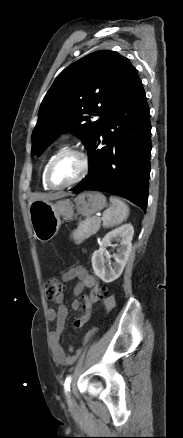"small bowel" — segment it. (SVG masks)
<instances>
[{
  "mask_svg": "<svg viewBox=\"0 0 183 438\" xmlns=\"http://www.w3.org/2000/svg\"><path fill=\"white\" fill-rule=\"evenodd\" d=\"M74 279L77 280L73 287L74 296H79L85 288H92L96 283L95 278L82 266L69 268L62 275V280L64 282H69ZM86 299L87 297H85V301ZM53 301L58 305L57 308H49L47 312L48 320L55 324V330L50 336L53 357L59 364L70 365L74 362L75 357L68 355L60 344V337L64 331L66 318L68 316V308L64 304L63 295L58 296ZM103 303L106 310L109 311L114 306V298L108 296L104 298ZM84 305H82L78 299H74L71 303V308L73 310H78L80 308L83 309V314L74 322V326L77 329L81 328L90 318V308L85 310Z\"/></svg>",
  "mask_w": 183,
  "mask_h": 438,
  "instance_id": "c3829d8e",
  "label": "small bowel"
}]
</instances>
